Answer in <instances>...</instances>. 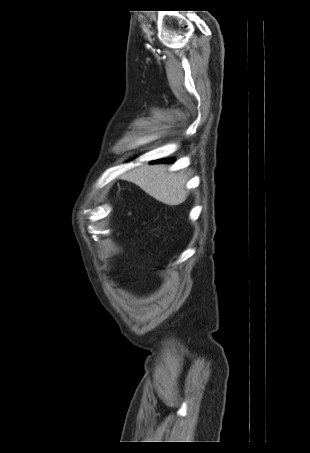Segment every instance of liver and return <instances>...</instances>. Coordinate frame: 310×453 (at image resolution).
I'll list each match as a JSON object with an SVG mask.
<instances>
[{"instance_id": "6515ba94", "label": "liver", "mask_w": 310, "mask_h": 453, "mask_svg": "<svg viewBox=\"0 0 310 453\" xmlns=\"http://www.w3.org/2000/svg\"><path fill=\"white\" fill-rule=\"evenodd\" d=\"M121 179L136 184L156 200L170 206H177L187 198V177L170 172L165 165L140 166L122 174Z\"/></svg>"}]
</instances>
